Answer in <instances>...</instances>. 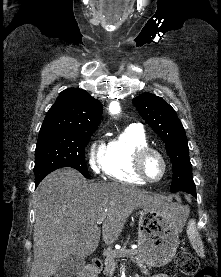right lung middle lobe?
<instances>
[{
	"label": "right lung middle lobe",
	"instance_id": "obj_1",
	"mask_svg": "<svg viewBox=\"0 0 221 277\" xmlns=\"http://www.w3.org/2000/svg\"><path fill=\"white\" fill-rule=\"evenodd\" d=\"M95 130H43L35 150V180L41 181L50 172L72 167L89 178L85 163V147Z\"/></svg>",
	"mask_w": 221,
	"mask_h": 277
}]
</instances>
